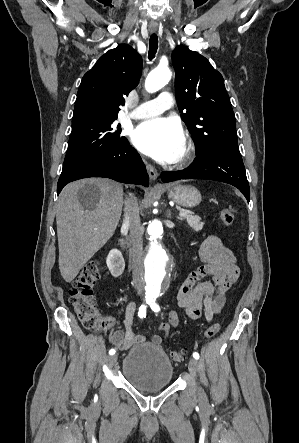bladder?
I'll return each instance as SVG.
<instances>
[{
	"instance_id": "bladder-1",
	"label": "bladder",
	"mask_w": 299,
	"mask_h": 443,
	"mask_svg": "<svg viewBox=\"0 0 299 443\" xmlns=\"http://www.w3.org/2000/svg\"><path fill=\"white\" fill-rule=\"evenodd\" d=\"M122 375L137 390L156 391L171 384L174 366L163 348L142 344L127 352Z\"/></svg>"
}]
</instances>
